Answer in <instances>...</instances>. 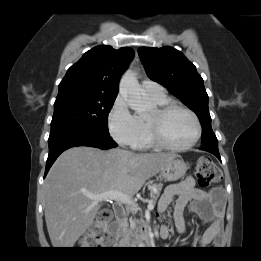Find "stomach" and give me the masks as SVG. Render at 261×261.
Listing matches in <instances>:
<instances>
[{
    "mask_svg": "<svg viewBox=\"0 0 261 261\" xmlns=\"http://www.w3.org/2000/svg\"><path fill=\"white\" fill-rule=\"evenodd\" d=\"M187 171V164L178 156L167 161L159 171V176L166 181H176Z\"/></svg>",
    "mask_w": 261,
    "mask_h": 261,
    "instance_id": "obj_1",
    "label": "stomach"
}]
</instances>
